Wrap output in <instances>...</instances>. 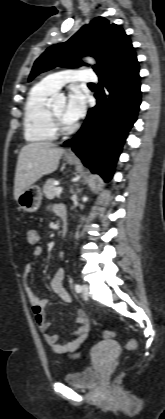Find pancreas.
I'll use <instances>...</instances> for the list:
<instances>
[{
  "label": "pancreas",
  "instance_id": "obj_1",
  "mask_svg": "<svg viewBox=\"0 0 165 419\" xmlns=\"http://www.w3.org/2000/svg\"><path fill=\"white\" fill-rule=\"evenodd\" d=\"M55 179H48L43 187V192L48 199H53L56 196V186L54 185Z\"/></svg>",
  "mask_w": 165,
  "mask_h": 419
}]
</instances>
